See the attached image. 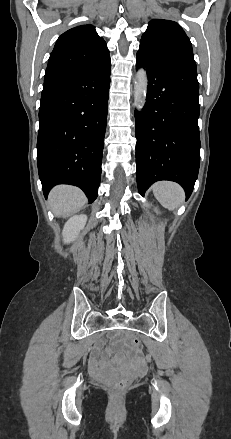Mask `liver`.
I'll use <instances>...</instances> for the list:
<instances>
[{
	"label": "liver",
	"instance_id": "6515ba94",
	"mask_svg": "<svg viewBox=\"0 0 231 439\" xmlns=\"http://www.w3.org/2000/svg\"><path fill=\"white\" fill-rule=\"evenodd\" d=\"M85 202L84 193L73 186L59 185L49 194V203L56 217H68L78 212Z\"/></svg>",
	"mask_w": 231,
	"mask_h": 439
}]
</instances>
